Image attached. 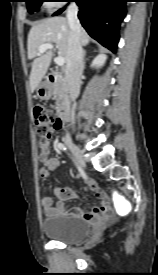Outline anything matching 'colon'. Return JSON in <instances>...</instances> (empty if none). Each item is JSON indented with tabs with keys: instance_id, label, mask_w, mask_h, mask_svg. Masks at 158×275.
I'll return each mask as SVG.
<instances>
[{
	"instance_id": "5ec220e1",
	"label": "colon",
	"mask_w": 158,
	"mask_h": 275,
	"mask_svg": "<svg viewBox=\"0 0 158 275\" xmlns=\"http://www.w3.org/2000/svg\"><path fill=\"white\" fill-rule=\"evenodd\" d=\"M33 117L39 147L46 146L50 141L52 132L60 126V121L49 109L40 104L34 106ZM111 214V210L108 209L103 213V216L108 218Z\"/></svg>"
}]
</instances>
